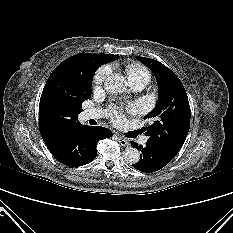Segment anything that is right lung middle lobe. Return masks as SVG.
<instances>
[{
    "mask_svg": "<svg viewBox=\"0 0 233 233\" xmlns=\"http://www.w3.org/2000/svg\"><path fill=\"white\" fill-rule=\"evenodd\" d=\"M97 54H87L82 77L69 85L44 87L39 105V122L46 129H61L77 121L82 103L91 98L95 71L103 64Z\"/></svg>",
    "mask_w": 233,
    "mask_h": 233,
    "instance_id": "right-lung-middle-lobe-1",
    "label": "right lung middle lobe"
}]
</instances>
